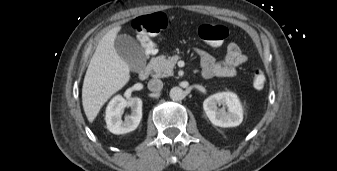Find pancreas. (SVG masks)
Returning a JSON list of instances; mask_svg holds the SVG:
<instances>
[{
  "label": "pancreas",
  "instance_id": "1",
  "mask_svg": "<svg viewBox=\"0 0 337 171\" xmlns=\"http://www.w3.org/2000/svg\"><path fill=\"white\" fill-rule=\"evenodd\" d=\"M179 59L180 57L177 55L169 58L161 55L151 59L150 66L154 72L153 76L167 77L173 75V68Z\"/></svg>",
  "mask_w": 337,
  "mask_h": 171
}]
</instances>
